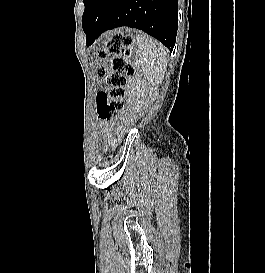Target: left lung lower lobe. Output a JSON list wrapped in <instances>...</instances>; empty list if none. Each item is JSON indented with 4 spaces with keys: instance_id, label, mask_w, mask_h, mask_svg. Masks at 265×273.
<instances>
[{
    "instance_id": "0a47b994",
    "label": "left lung lower lobe",
    "mask_w": 265,
    "mask_h": 273,
    "mask_svg": "<svg viewBox=\"0 0 265 273\" xmlns=\"http://www.w3.org/2000/svg\"><path fill=\"white\" fill-rule=\"evenodd\" d=\"M120 26L140 29L172 51L178 26V1L88 0V9L83 17L87 46L104 31Z\"/></svg>"
}]
</instances>
